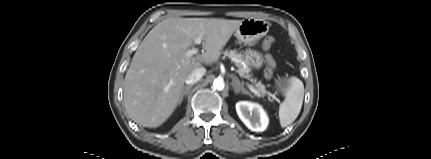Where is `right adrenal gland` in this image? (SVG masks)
<instances>
[{"label":"right adrenal gland","instance_id":"right-adrenal-gland-1","mask_svg":"<svg viewBox=\"0 0 431 159\" xmlns=\"http://www.w3.org/2000/svg\"><path fill=\"white\" fill-rule=\"evenodd\" d=\"M192 86H193V84L189 85V86H185L183 88L181 96H180V100H179V103H178L179 105L182 103L184 96L188 94V91L192 88Z\"/></svg>","mask_w":431,"mask_h":159}]
</instances>
